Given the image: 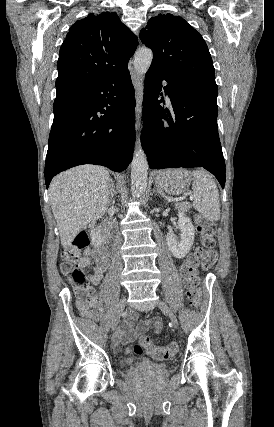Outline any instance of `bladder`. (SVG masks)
Masks as SVG:
<instances>
[{
	"label": "bladder",
	"mask_w": 274,
	"mask_h": 427,
	"mask_svg": "<svg viewBox=\"0 0 274 427\" xmlns=\"http://www.w3.org/2000/svg\"><path fill=\"white\" fill-rule=\"evenodd\" d=\"M152 365H155V364H152ZM129 366H130V361H123V362H121V367L122 368H127Z\"/></svg>",
	"instance_id": "31cf9c89"
}]
</instances>
